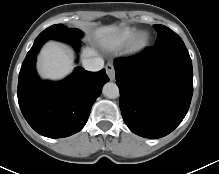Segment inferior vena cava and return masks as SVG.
Here are the masks:
<instances>
[{
	"instance_id": "1",
	"label": "inferior vena cava",
	"mask_w": 219,
	"mask_h": 174,
	"mask_svg": "<svg viewBox=\"0 0 219 174\" xmlns=\"http://www.w3.org/2000/svg\"><path fill=\"white\" fill-rule=\"evenodd\" d=\"M82 64L86 70L96 72L104 67V60L100 57L85 58Z\"/></svg>"
}]
</instances>
